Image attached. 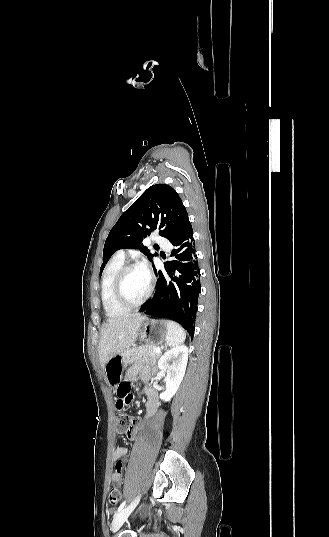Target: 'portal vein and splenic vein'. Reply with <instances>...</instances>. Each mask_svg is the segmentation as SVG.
I'll return each mask as SVG.
<instances>
[{"label": "portal vein and splenic vein", "mask_w": 329, "mask_h": 537, "mask_svg": "<svg viewBox=\"0 0 329 537\" xmlns=\"http://www.w3.org/2000/svg\"><path fill=\"white\" fill-rule=\"evenodd\" d=\"M155 352H156V353H160V352H161V349H160V348H156V349H155Z\"/></svg>", "instance_id": "portal-vein-and-splenic-vein-1"}]
</instances>
